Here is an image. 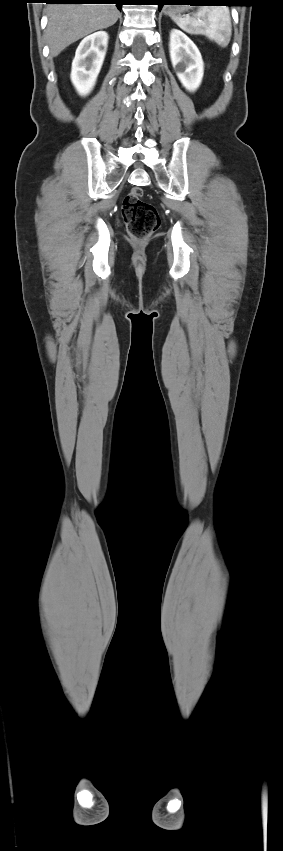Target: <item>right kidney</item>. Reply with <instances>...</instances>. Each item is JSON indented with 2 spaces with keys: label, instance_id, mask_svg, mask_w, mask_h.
<instances>
[{
  "label": "right kidney",
  "instance_id": "obj_1",
  "mask_svg": "<svg viewBox=\"0 0 283 851\" xmlns=\"http://www.w3.org/2000/svg\"><path fill=\"white\" fill-rule=\"evenodd\" d=\"M108 44L105 31L85 37L79 44L72 62L71 81L81 96L93 89L101 70Z\"/></svg>",
  "mask_w": 283,
  "mask_h": 851
}]
</instances>
